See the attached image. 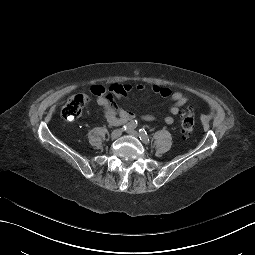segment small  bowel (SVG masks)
Returning <instances> with one entry per match:
<instances>
[{
    "instance_id": "obj_1",
    "label": "small bowel",
    "mask_w": 255,
    "mask_h": 255,
    "mask_svg": "<svg viewBox=\"0 0 255 255\" xmlns=\"http://www.w3.org/2000/svg\"><path fill=\"white\" fill-rule=\"evenodd\" d=\"M131 89L132 86L130 84H112L109 88L100 85L91 87L90 91L96 97L97 104L100 106L102 113L109 124L114 126L121 125L136 117L135 112L119 108L112 99V94H119L123 97L127 92L131 91ZM137 89L144 90L145 86L139 84ZM151 89L155 94L171 100V115L165 116L163 121L166 124H172L175 120L174 117L180 112V107L188 102V98L181 91H173L167 87L153 85ZM139 117L145 121L157 120V116L151 114H142Z\"/></svg>"
}]
</instances>
